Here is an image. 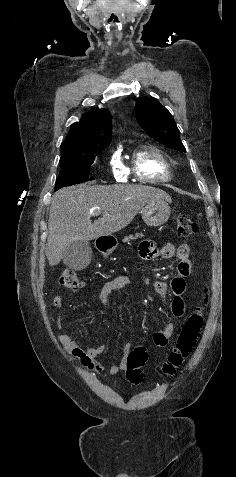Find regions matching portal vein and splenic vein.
<instances>
[{"mask_svg":"<svg viewBox=\"0 0 236 477\" xmlns=\"http://www.w3.org/2000/svg\"><path fill=\"white\" fill-rule=\"evenodd\" d=\"M101 213L99 211H96V212H90V215L91 216H99Z\"/></svg>","mask_w":236,"mask_h":477,"instance_id":"obj_1","label":"portal vein and splenic vein"}]
</instances>
